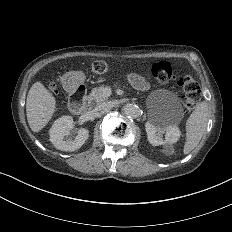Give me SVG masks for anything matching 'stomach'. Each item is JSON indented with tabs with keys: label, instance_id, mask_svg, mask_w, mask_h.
Instances as JSON below:
<instances>
[{
	"label": "stomach",
	"instance_id": "obj_1",
	"mask_svg": "<svg viewBox=\"0 0 232 232\" xmlns=\"http://www.w3.org/2000/svg\"><path fill=\"white\" fill-rule=\"evenodd\" d=\"M77 76L80 78L79 82H82L83 81V75H81V74L78 73Z\"/></svg>",
	"mask_w": 232,
	"mask_h": 232
}]
</instances>
